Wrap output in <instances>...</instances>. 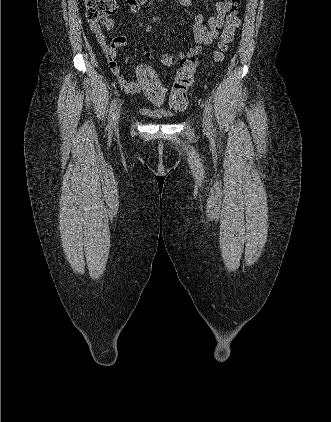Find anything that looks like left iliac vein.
I'll list each match as a JSON object with an SVG mask.
<instances>
[{"mask_svg":"<svg viewBox=\"0 0 331 422\" xmlns=\"http://www.w3.org/2000/svg\"><path fill=\"white\" fill-rule=\"evenodd\" d=\"M202 126H203L204 131L210 132V130H211L210 129V123H209V119H208L206 112L203 113Z\"/></svg>","mask_w":331,"mask_h":422,"instance_id":"left-iliac-vein-1","label":"left iliac vein"}]
</instances>
